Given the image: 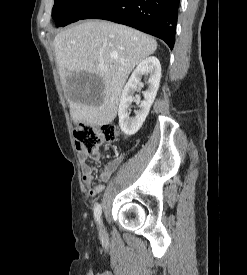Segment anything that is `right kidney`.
Listing matches in <instances>:
<instances>
[{
  "mask_svg": "<svg viewBox=\"0 0 247 275\" xmlns=\"http://www.w3.org/2000/svg\"><path fill=\"white\" fill-rule=\"evenodd\" d=\"M148 89L143 92L144 100L139 105V110L135 111V116L130 117L131 103L134 101V93L143 84L142 76H148ZM161 79V65L159 60L154 57L144 59L133 71L130 79L125 85L120 99L118 116L121 130L126 135H134L143 125L153 104Z\"/></svg>",
  "mask_w": 247,
  "mask_h": 275,
  "instance_id": "obj_1",
  "label": "right kidney"
}]
</instances>
